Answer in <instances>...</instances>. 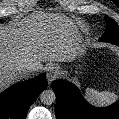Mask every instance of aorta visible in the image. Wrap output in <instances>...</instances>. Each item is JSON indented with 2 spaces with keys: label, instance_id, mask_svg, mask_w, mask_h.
<instances>
[{
  "label": "aorta",
  "instance_id": "aorta-1",
  "mask_svg": "<svg viewBox=\"0 0 119 119\" xmlns=\"http://www.w3.org/2000/svg\"><path fill=\"white\" fill-rule=\"evenodd\" d=\"M40 101L45 105H51L56 101V95L53 90H44L40 94Z\"/></svg>",
  "mask_w": 119,
  "mask_h": 119
}]
</instances>
